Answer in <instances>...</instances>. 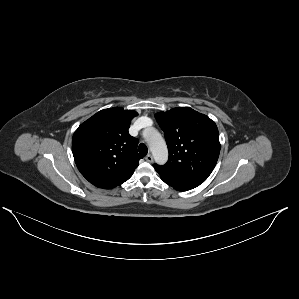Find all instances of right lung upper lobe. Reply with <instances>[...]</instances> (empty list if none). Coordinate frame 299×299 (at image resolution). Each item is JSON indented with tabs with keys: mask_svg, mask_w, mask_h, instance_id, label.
I'll list each match as a JSON object with an SVG mask.
<instances>
[{
	"mask_svg": "<svg viewBox=\"0 0 299 299\" xmlns=\"http://www.w3.org/2000/svg\"><path fill=\"white\" fill-rule=\"evenodd\" d=\"M133 110L104 109L82 123L72 138V152L81 174L99 188L111 189L127 181L142 158L138 140L130 136Z\"/></svg>",
	"mask_w": 299,
	"mask_h": 299,
	"instance_id": "cb5924a9",
	"label": "right lung upper lobe"
}]
</instances>
